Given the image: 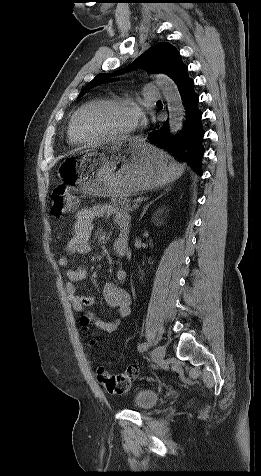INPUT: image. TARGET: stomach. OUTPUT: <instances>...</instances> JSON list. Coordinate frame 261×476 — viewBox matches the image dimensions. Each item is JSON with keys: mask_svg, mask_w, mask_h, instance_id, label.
Returning a JSON list of instances; mask_svg holds the SVG:
<instances>
[{"mask_svg": "<svg viewBox=\"0 0 261 476\" xmlns=\"http://www.w3.org/2000/svg\"><path fill=\"white\" fill-rule=\"evenodd\" d=\"M183 173V167L158 148L137 139L125 143L94 144L93 151L67 156L62 179L81 195L127 198L166 186Z\"/></svg>", "mask_w": 261, "mask_h": 476, "instance_id": "obj_1", "label": "stomach"}]
</instances>
